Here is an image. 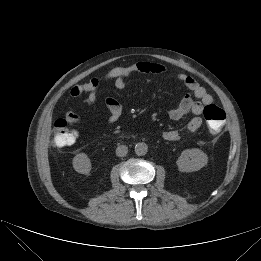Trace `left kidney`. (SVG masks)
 <instances>
[{"label":"left kidney","mask_w":261,"mask_h":261,"mask_svg":"<svg viewBox=\"0 0 261 261\" xmlns=\"http://www.w3.org/2000/svg\"><path fill=\"white\" fill-rule=\"evenodd\" d=\"M208 162V156L198 148L182 151L177 160L178 170L181 172H193L203 168Z\"/></svg>","instance_id":"obj_1"}]
</instances>
